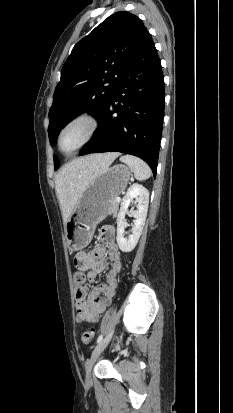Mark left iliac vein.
I'll use <instances>...</instances> for the list:
<instances>
[{"instance_id":"obj_1","label":"left iliac vein","mask_w":233,"mask_h":413,"mask_svg":"<svg viewBox=\"0 0 233 413\" xmlns=\"http://www.w3.org/2000/svg\"><path fill=\"white\" fill-rule=\"evenodd\" d=\"M114 334V329H111L108 334L98 343V345L95 347L90 360L88 361L87 368H86V379L88 382L91 381V370L94 362L96 359L99 357V355L104 351V349L107 347L109 342L112 339V336Z\"/></svg>"}]
</instances>
